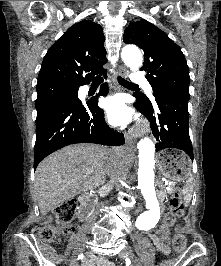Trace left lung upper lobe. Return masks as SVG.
Returning <instances> with one entry per match:
<instances>
[{"mask_svg":"<svg viewBox=\"0 0 221 266\" xmlns=\"http://www.w3.org/2000/svg\"><path fill=\"white\" fill-rule=\"evenodd\" d=\"M124 42L135 44L144 52L141 70L153 88V96L166 94L189 101V69L186 59L168 35L152 23L141 19L131 22L124 31ZM151 103L144 94H136Z\"/></svg>","mask_w":221,"mask_h":266,"instance_id":"obj_1","label":"left lung upper lobe"}]
</instances>
